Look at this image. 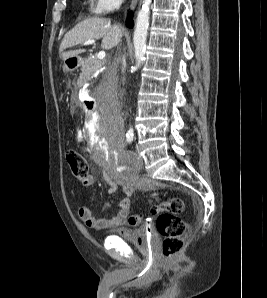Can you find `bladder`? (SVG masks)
I'll return each instance as SVG.
<instances>
[{
	"label": "bladder",
	"mask_w": 267,
	"mask_h": 298,
	"mask_svg": "<svg viewBox=\"0 0 267 298\" xmlns=\"http://www.w3.org/2000/svg\"><path fill=\"white\" fill-rule=\"evenodd\" d=\"M119 236L126 242H129L142 250H148L156 240L154 231L149 225L132 230L128 234H121Z\"/></svg>",
	"instance_id": "obj_1"
}]
</instances>
